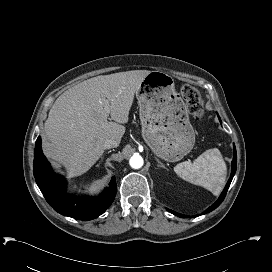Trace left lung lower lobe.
<instances>
[{
  "label": "left lung lower lobe",
  "instance_id": "obj_1",
  "mask_svg": "<svg viewBox=\"0 0 272 272\" xmlns=\"http://www.w3.org/2000/svg\"><path fill=\"white\" fill-rule=\"evenodd\" d=\"M219 120H220V117H219ZM220 122H221V120H220ZM236 167H237V155H236V148H235V145H234V157H233V161H232V173H231V176H230V178H229V180H228V182H227V184H226V186H225L222 194L218 198V200L211 207H209L203 214H206V213L214 210L215 208H217L221 204V202L223 201V199H224V197H225V195L227 193V190H228V188L230 186V183H231V181L233 179V176H234V174L236 172ZM169 211L171 213H173L174 215H177L178 217H182V218L187 217L185 215L179 214V213L174 212L172 210H169Z\"/></svg>",
  "mask_w": 272,
  "mask_h": 272
}]
</instances>
